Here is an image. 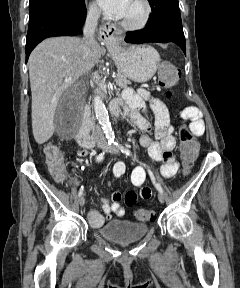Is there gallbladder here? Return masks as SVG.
Instances as JSON below:
<instances>
[{
  "label": "gallbladder",
  "instance_id": "1",
  "mask_svg": "<svg viewBox=\"0 0 240 288\" xmlns=\"http://www.w3.org/2000/svg\"><path fill=\"white\" fill-rule=\"evenodd\" d=\"M78 111V104L74 100V97L70 90H67L59 100L57 105L55 120H66L69 117L74 116Z\"/></svg>",
  "mask_w": 240,
  "mask_h": 288
}]
</instances>
